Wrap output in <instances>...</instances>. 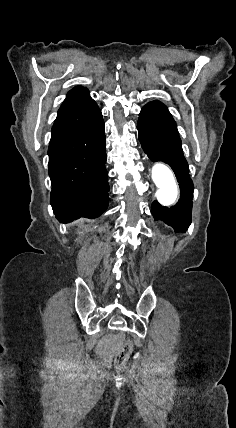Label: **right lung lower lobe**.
<instances>
[{
	"label": "right lung lower lobe",
	"mask_w": 236,
	"mask_h": 428,
	"mask_svg": "<svg viewBox=\"0 0 236 428\" xmlns=\"http://www.w3.org/2000/svg\"><path fill=\"white\" fill-rule=\"evenodd\" d=\"M105 124L98 106L60 113L49 144L50 203L59 222L96 218L108 207Z\"/></svg>",
	"instance_id": "98d812e1"
}]
</instances>
